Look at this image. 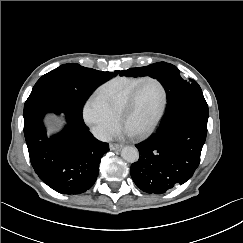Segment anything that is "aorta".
I'll use <instances>...</instances> for the list:
<instances>
[{
	"label": "aorta",
	"instance_id": "aorta-1",
	"mask_svg": "<svg viewBox=\"0 0 243 243\" xmlns=\"http://www.w3.org/2000/svg\"><path fill=\"white\" fill-rule=\"evenodd\" d=\"M121 157L129 163H134L139 158V152L134 146H126L121 151Z\"/></svg>",
	"mask_w": 243,
	"mask_h": 243
}]
</instances>
